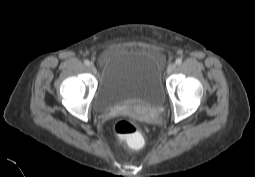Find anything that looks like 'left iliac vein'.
<instances>
[{
	"mask_svg": "<svg viewBox=\"0 0 255 177\" xmlns=\"http://www.w3.org/2000/svg\"><path fill=\"white\" fill-rule=\"evenodd\" d=\"M175 69H176V64H170L168 67H167V73L168 74H171V73H173L174 71H175Z\"/></svg>",
	"mask_w": 255,
	"mask_h": 177,
	"instance_id": "left-iliac-vein-1",
	"label": "left iliac vein"
}]
</instances>
